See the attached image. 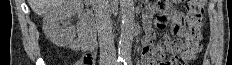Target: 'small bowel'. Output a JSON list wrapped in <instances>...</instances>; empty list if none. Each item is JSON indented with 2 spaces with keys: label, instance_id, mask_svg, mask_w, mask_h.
<instances>
[{
  "label": "small bowel",
  "instance_id": "1",
  "mask_svg": "<svg viewBox=\"0 0 232 65\" xmlns=\"http://www.w3.org/2000/svg\"><path fill=\"white\" fill-rule=\"evenodd\" d=\"M154 13L155 11L153 7H145L144 27L146 30V37L142 42V65H171V62H162V64L156 62L155 57L158 58L160 47L155 49L152 44L154 31L151 27V17ZM155 24L162 30L169 27L177 36H183L186 33L184 18L180 13L175 11H171L168 15H159ZM70 48L72 50H89L88 42L81 36L70 44Z\"/></svg>",
  "mask_w": 232,
  "mask_h": 65
}]
</instances>
